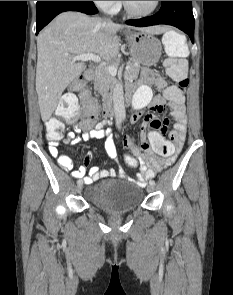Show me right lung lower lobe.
I'll list each match as a JSON object with an SVG mask.
<instances>
[{
	"label": "right lung lower lobe",
	"mask_w": 233,
	"mask_h": 295,
	"mask_svg": "<svg viewBox=\"0 0 233 295\" xmlns=\"http://www.w3.org/2000/svg\"><path fill=\"white\" fill-rule=\"evenodd\" d=\"M36 11V34L61 12L79 11L88 15L97 13V9L92 1H37Z\"/></svg>",
	"instance_id": "98d812e1"
}]
</instances>
